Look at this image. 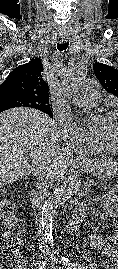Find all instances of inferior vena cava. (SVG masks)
Segmentation results:
<instances>
[{
    "label": "inferior vena cava",
    "mask_w": 118,
    "mask_h": 269,
    "mask_svg": "<svg viewBox=\"0 0 118 269\" xmlns=\"http://www.w3.org/2000/svg\"><path fill=\"white\" fill-rule=\"evenodd\" d=\"M57 176L56 170L54 168V165H52L50 162L49 163H44L40 166L36 177H37V182H36V197L34 199V205L36 208H43L44 201H45V193L47 191V188L52 184L54 178ZM41 215L40 213L37 214L36 216V223L37 225L40 224V218ZM43 243H41L42 245Z\"/></svg>",
    "instance_id": "602c4592"
}]
</instances>
